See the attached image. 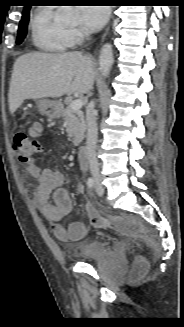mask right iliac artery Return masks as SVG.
I'll return each mask as SVG.
<instances>
[{
  "label": "right iliac artery",
  "instance_id": "82829eb1",
  "mask_svg": "<svg viewBox=\"0 0 184 327\" xmlns=\"http://www.w3.org/2000/svg\"><path fill=\"white\" fill-rule=\"evenodd\" d=\"M94 185H95V180H94L93 178H89V179L87 180V187H88L89 189H92V188L94 187Z\"/></svg>",
  "mask_w": 184,
  "mask_h": 327
}]
</instances>
